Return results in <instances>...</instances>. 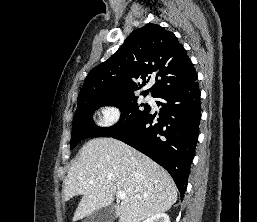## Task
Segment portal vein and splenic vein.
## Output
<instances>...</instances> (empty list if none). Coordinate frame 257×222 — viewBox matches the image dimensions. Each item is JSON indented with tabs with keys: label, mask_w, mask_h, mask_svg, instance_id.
<instances>
[{
	"label": "portal vein and splenic vein",
	"mask_w": 257,
	"mask_h": 222,
	"mask_svg": "<svg viewBox=\"0 0 257 222\" xmlns=\"http://www.w3.org/2000/svg\"><path fill=\"white\" fill-rule=\"evenodd\" d=\"M117 197L122 200V199H125L126 194L124 193V191H118ZM136 198H139V197H136Z\"/></svg>",
	"instance_id": "1"
}]
</instances>
